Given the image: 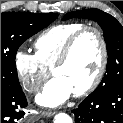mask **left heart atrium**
<instances>
[{
  "label": "left heart atrium",
  "instance_id": "39dd6f15",
  "mask_svg": "<svg viewBox=\"0 0 123 123\" xmlns=\"http://www.w3.org/2000/svg\"><path fill=\"white\" fill-rule=\"evenodd\" d=\"M72 92L71 86L65 79L55 77L44 86L36 101L43 106L55 107L65 102Z\"/></svg>",
  "mask_w": 123,
  "mask_h": 123
}]
</instances>
